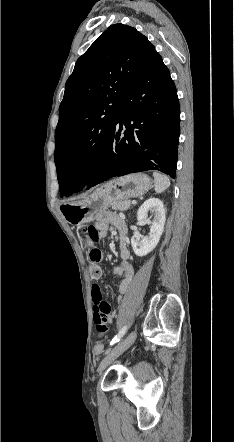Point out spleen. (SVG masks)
Returning a JSON list of instances; mask_svg holds the SVG:
<instances>
[{"mask_svg":"<svg viewBox=\"0 0 234 442\" xmlns=\"http://www.w3.org/2000/svg\"><path fill=\"white\" fill-rule=\"evenodd\" d=\"M153 177L156 193H162L170 186V180L166 175L154 171Z\"/></svg>","mask_w":234,"mask_h":442,"instance_id":"1","label":"spleen"}]
</instances>
